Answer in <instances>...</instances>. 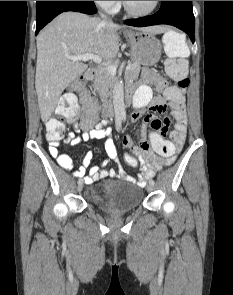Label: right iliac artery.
Returning a JSON list of instances; mask_svg holds the SVG:
<instances>
[{
	"label": "right iliac artery",
	"instance_id": "right-iliac-artery-1",
	"mask_svg": "<svg viewBox=\"0 0 233 295\" xmlns=\"http://www.w3.org/2000/svg\"><path fill=\"white\" fill-rule=\"evenodd\" d=\"M121 119H116V126H117V129L119 130L120 127H121Z\"/></svg>",
	"mask_w": 233,
	"mask_h": 295
}]
</instances>
